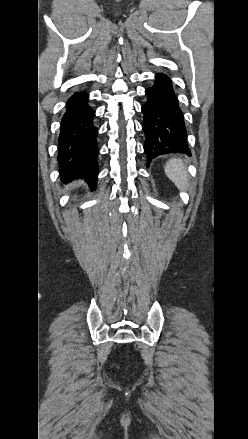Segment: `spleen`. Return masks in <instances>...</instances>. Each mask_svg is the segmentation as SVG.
Returning a JSON list of instances; mask_svg holds the SVG:
<instances>
[{"label":"spleen","instance_id":"3e777b00","mask_svg":"<svg viewBox=\"0 0 248 439\" xmlns=\"http://www.w3.org/2000/svg\"><path fill=\"white\" fill-rule=\"evenodd\" d=\"M165 173L168 178L176 185L181 191H186L188 188V174L186 167L179 158H173L167 162L164 167Z\"/></svg>","mask_w":248,"mask_h":439}]
</instances>
